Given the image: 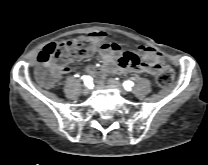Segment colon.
Listing matches in <instances>:
<instances>
[{
  "instance_id": "colon-1",
  "label": "colon",
  "mask_w": 208,
  "mask_h": 165,
  "mask_svg": "<svg viewBox=\"0 0 208 165\" xmlns=\"http://www.w3.org/2000/svg\"><path fill=\"white\" fill-rule=\"evenodd\" d=\"M95 48V43L90 37L67 38L47 45L37 56L38 80L46 86H53L57 81L59 70L70 68V64L91 55ZM132 57L131 52L125 53V60ZM174 78L173 69L164 66L156 79L159 86L166 88L173 84Z\"/></svg>"
}]
</instances>
